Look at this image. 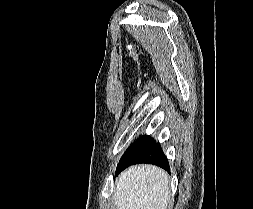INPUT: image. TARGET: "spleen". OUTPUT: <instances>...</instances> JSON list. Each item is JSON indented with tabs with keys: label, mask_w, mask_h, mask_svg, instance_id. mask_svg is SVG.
<instances>
[{
	"label": "spleen",
	"mask_w": 253,
	"mask_h": 209,
	"mask_svg": "<svg viewBox=\"0 0 253 209\" xmlns=\"http://www.w3.org/2000/svg\"><path fill=\"white\" fill-rule=\"evenodd\" d=\"M169 199L168 175L155 166L132 167L116 183V209H167Z\"/></svg>",
	"instance_id": "3e777b00"
}]
</instances>
